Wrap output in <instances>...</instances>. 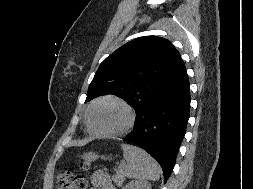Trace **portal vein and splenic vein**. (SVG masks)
<instances>
[{
    "instance_id": "portal-vein-and-splenic-vein-1",
    "label": "portal vein and splenic vein",
    "mask_w": 253,
    "mask_h": 189,
    "mask_svg": "<svg viewBox=\"0 0 253 189\" xmlns=\"http://www.w3.org/2000/svg\"><path fill=\"white\" fill-rule=\"evenodd\" d=\"M123 166H124V163L122 162V163L120 164V166H119V169H118V170H121V169L123 168Z\"/></svg>"
}]
</instances>
